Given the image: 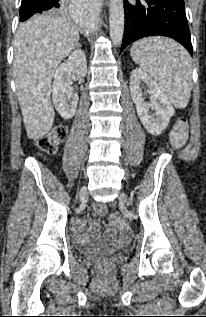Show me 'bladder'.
Returning <instances> with one entry per match:
<instances>
[{
	"label": "bladder",
	"mask_w": 206,
	"mask_h": 317,
	"mask_svg": "<svg viewBox=\"0 0 206 317\" xmlns=\"http://www.w3.org/2000/svg\"><path fill=\"white\" fill-rule=\"evenodd\" d=\"M110 249L103 242H97L95 244L89 245L81 250V255L84 257H92L102 253L109 252Z\"/></svg>",
	"instance_id": "obj_1"
}]
</instances>
